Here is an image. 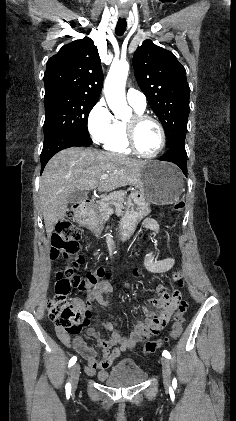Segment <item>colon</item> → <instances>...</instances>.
Segmentation results:
<instances>
[{
  "label": "colon",
  "mask_w": 236,
  "mask_h": 421,
  "mask_svg": "<svg viewBox=\"0 0 236 421\" xmlns=\"http://www.w3.org/2000/svg\"><path fill=\"white\" fill-rule=\"evenodd\" d=\"M185 207L183 201L176 202L173 206L175 211H182ZM73 213L67 212L66 218L59 221L52 236L51 256L53 259L62 255L68 259L69 265L56 275L55 292L48 300V314L56 328L70 337L75 349L81 355L90 354L89 349L77 336L90 324V309L85 305H78L69 301L67 297L73 292L90 293L100 288L110 279V273L103 267H95L87 273L80 274L77 266L84 261L79 254L80 231L72 221ZM138 275V270H134ZM184 281L180 280L179 285ZM177 310L174 314V323L169 335L163 339L150 341L145 344L144 353L150 355L161 349L170 340L180 336L183 330L185 314L188 310V302L181 299L178 294L174 295Z\"/></svg>",
  "instance_id": "5ec220e1"
}]
</instances>
